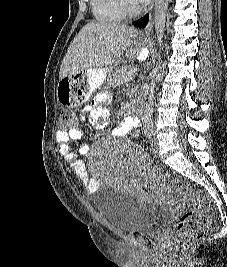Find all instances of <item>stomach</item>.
Wrapping results in <instances>:
<instances>
[{
	"instance_id": "1",
	"label": "stomach",
	"mask_w": 227,
	"mask_h": 267,
	"mask_svg": "<svg viewBox=\"0 0 227 267\" xmlns=\"http://www.w3.org/2000/svg\"><path fill=\"white\" fill-rule=\"evenodd\" d=\"M143 57H140L142 59ZM110 66L81 70L61 77L56 101L60 107H78L87 102V96L99 89L111 73Z\"/></svg>"
}]
</instances>
